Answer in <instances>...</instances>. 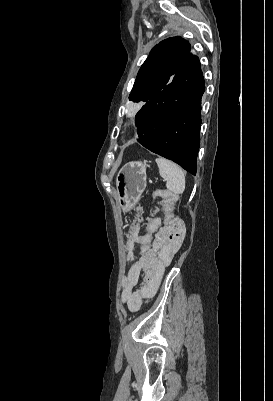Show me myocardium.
<instances>
[{
    "label": "myocardium",
    "instance_id": "1",
    "mask_svg": "<svg viewBox=\"0 0 273 401\" xmlns=\"http://www.w3.org/2000/svg\"><path fill=\"white\" fill-rule=\"evenodd\" d=\"M135 134H136V127H135L134 125H132V124H126V125L123 127V136H124L126 139H131V138H133V137L135 136Z\"/></svg>",
    "mask_w": 273,
    "mask_h": 401
}]
</instances>
